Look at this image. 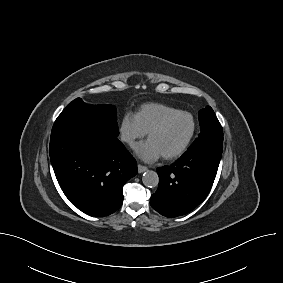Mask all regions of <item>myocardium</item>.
I'll use <instances>...</instances> for the list:
<instances>
[{"mask_svg":"<svg viewBox=\"0 0 283 283\" xmlns=\"http://www.w3.org/2000/svg\"><path fill=\"white\" fill-rule=\"evenodd\" d=\"M180 115H184L190 118L191 120V131L189 136L187 137V139L185 140V142L182 144V146L180 148H178L176 151L170 153V154H165L162 155L164 159L166 160H172L175 158L180 157L181 155H183L185 153V151L188 149L189 145L191 144L195 133H196V121L195 118L193 117V115L187 111H183V110H177L174 112H171L167 115H165L163 118H161L149 131H148V138L160 131L172 118L176 117V116H180Z\"/></svg>","mask_w":283,"mask_h":283,"instance_id":"myocardium-1","label":"myocardium"}]
</instances>
